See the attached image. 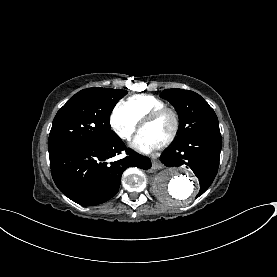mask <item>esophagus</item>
<instances>
[{
  "label": "esophagus",
  "mask_w": 277,
  "mask_h": 277,
  "mask_svg": "<svg viewBox=\"0 0 277 277\" xmlns=\"http://www.w3.org/2000/svg\"><path fill=\"white\" fill-rule=\"evenodd\" d=\"M164 165L158 159H152V169H162Z\"/></svg>",
  "instance_id": "obj_1"
}]
</instances>
